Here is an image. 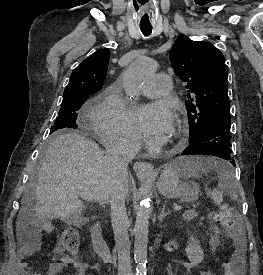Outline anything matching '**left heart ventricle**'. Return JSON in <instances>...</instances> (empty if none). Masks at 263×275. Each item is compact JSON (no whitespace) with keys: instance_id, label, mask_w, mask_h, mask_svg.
<instances>
[{"instance_id":"1","label":"left heart ventricle","mask_w":263,"mask_h":275,"mask_svg":"<svg viewBox=\"0 0 263 275\" xmlns=\"http://www.w3.org/2000/svg\"><path fill=\"white\" fill-rule=\"evenodd\" d=\"M175 138V128H172V130L170 131V133L168 134L165 142L169 143L170 141H172Z\"/></svg>"}]
</instances>
